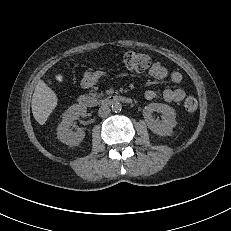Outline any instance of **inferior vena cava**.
<instances>
[{"label":"inferior vena cava","mask_w":231,"mask_h":231,"mask_svg":"<svg viewBox=\"0 0 231 231\" xmlns=\"http://www.w3.org/2000/svg\"><path fill=\"white\" fill-rule=\"evenodd\" d=\"M110 111H111L110 108L108 106L104 105V106H101L99 108L98 115L100 117L104 118V117H107L110 114Z\"/></svg>","instance_id":"1"}]
</instances>
